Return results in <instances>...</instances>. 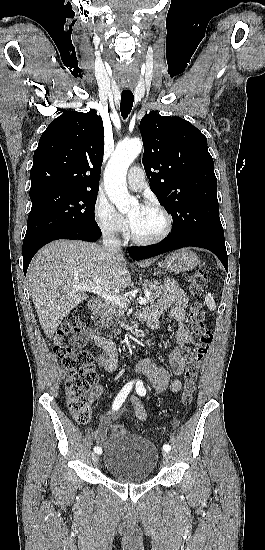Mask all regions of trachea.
I'll use <instances>...</instances> for the list:
<instances>
[{
	"label": "trachea",
	"mask_w": 265,
	"mask_h": 550,
	"mask_svg": "<svg viewBox=\"0 0 265 550\" xmlns=\"http://www.w3.org/2000/svg\"><path fill=\"white\" fill-rule=\"evenodd\" d=\"M134 102L133 93L130 91H123L121 94L120 111L123 119H126L132 110Z\"/></svg>",
	"instance_id": "3493384b"
}]
</instances>
